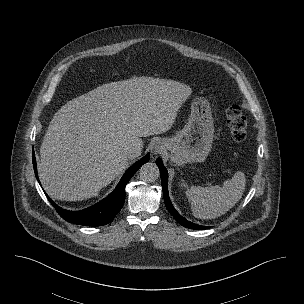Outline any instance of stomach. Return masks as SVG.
<instances>
[{"label": "stomach", "mask_w": 304, "mask_h": 304, "mask_svg": "<svg viewBox=\"0 0 304 304\" xmlns=\"http://www.w3.org/2000/svg\"><path fill=\"white\" fill-rule=\"evenodd\" d=\"M214 138V123L207 99L198 97L191 104V113L184 128L174 137L164 139L176 165L202 162L208 156Z\"/></svg>", "instance_id": "stomach-1"}]
</instances>
